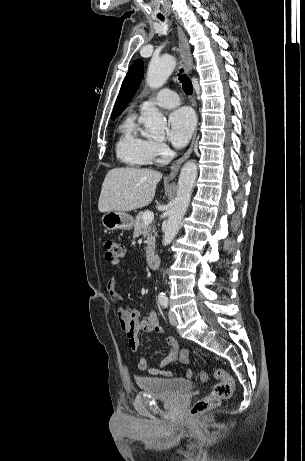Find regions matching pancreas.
Instances as JSON below:
<instances>
[{"label":"pancreas","mask_w":305,"mask_h":461,"mask_svg":"<svg viewBox=\"0 0 305 461\" xmlns=\"http://www.w3.org/2000/svg\"><path fill=\"white\" fill-rule=\"evenodd\" d=\"M145 212H148V211H141L136 216V219L134 221V237H137L138 235L144 234V232H146V236H147V240L145 241V243L147 244L146 253L149 254L155 248L156 233H155L154 226L150 224L147 227L145 226V223L143 221V215Z\"/></svg>","instance_id":"1"}]
</instances>
